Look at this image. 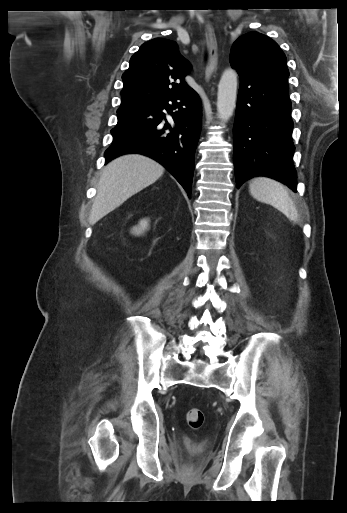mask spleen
Listing matches in <instances>:
<instances>
[{"mask_svg":"<svg viewBox=\"0 0 347 513\" xmlns=\"http://www.w3.org/2000/svg\"><path fill=\"white\" fill-rule=\"evenodd\" d=\"M249 192L253 198L274 206L289 219L298 220L296 206L281 183L268 177H256L249 184Z\"/></svg>","mask_w":347,"mask_h":513,"instance_id":"obj_1","label":"spleen"}]
</instances>
